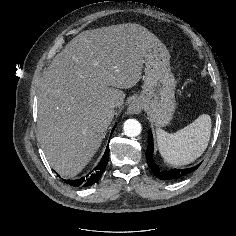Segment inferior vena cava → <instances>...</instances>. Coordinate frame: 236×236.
<instances>
[{
  "label": "inferior vena cava",
  "instance_id": "inferior-vena-cava-1",
  "mask_svg": "<svg viewBox=\"0 0 236 236\" xmlns=\"http://www.w3.org/2000/svg\"><path fill=\"white\" fill-rule=\"evenodd\" d=\"M109 107H110L111 109H113L114 107H116V105H115L114 103H111V104L109 105Z\"/></svg>",
  "mask_w": 236,
  "mask_h": 236
}]
</instances>
